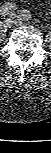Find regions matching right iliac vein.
I'll return each instance as SVG.
<instances>
[{
  "label": "right iliac vein",
  "mask_w": 51,
  "mask_h": 153,
  "mask_svg": "<svg viewBox=\"0 0 51 153\" xmlns=\"http://www.w3.org/2000/svg\"><path fill=\"white\" fill-rule=\"evenodd\" d=\"M15 21H14V18H7L5 19L4 21V27L5 28H11L13 25H14Z\"/></svg>",
  "instance_id": "right-iliac-vein-1"
}]
</instances>
